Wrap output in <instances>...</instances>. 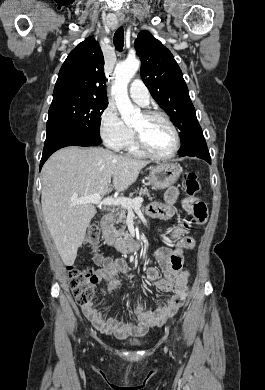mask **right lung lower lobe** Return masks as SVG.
I'll return each instance as SVG.
<instances>
[{
	"label": "right lung lower lobe",
	"mask_w": 265,
	"mask_h": 390,
	"mask_svg": "<svg viewBox=\"0 0 265 390\" xmlns=\"http://www.w3.org/2000/svg\"><path fill=\"white\" fill-rule=\"evenodd\" d=\"M100 138L68 127H54L47 130L40 170L45 161L58 149L66 146H98Z\"/></svg>",
	"instance_id": "obj_1"
}]
</instances>
